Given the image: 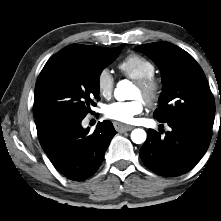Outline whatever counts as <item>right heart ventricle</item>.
Returning <instances> with one entry per match:
<instances>
[{"instance_id": "right-heart-ventricle-1", "label": "right heart ventricle", "mask_w": 221, "mask_h": 221, "mask_svg": "<svg viewBox=\"0 0 221 221\" xmlns=\"http://www.w3.org/2000/svg\"><path fill=\"white\" fill-rule=\"evenodd\" d=\"M118 68L122 75L132 80L154 76L156 71L155 64L150 59L136 53L126 56L118 64Z\"/></svg>"}]
</instances>
